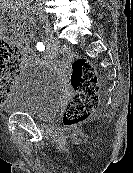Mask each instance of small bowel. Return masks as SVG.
<instances>
[{"mask_svg":"<svg viewBox=\"0 0 133 173\" xmlns=\"http://www.w3.org/2000/svg\"><path fill=\"white\" fill-rule=\"evenodd\" d=\"M29 22H30L31 24H35V21H34L32 18H30ZM26 35H27L30 39H34V37H35L34 32H32V31H30V30L27 32ZM18 49H19V51L21 52V54H22L23 56H25L26 58L30 59V58L32 57V50H31V47L29 46V44L27 43L26 37H25V36H23V37L20 38L19 45H18ZM54 49H55L56 51H58V49H59L58 44H55V45H54Z\"/></svg>","mask_w":133,"mask_h":173,"instance_id":"obj_1","label":"small bowel"}]
</instances>
